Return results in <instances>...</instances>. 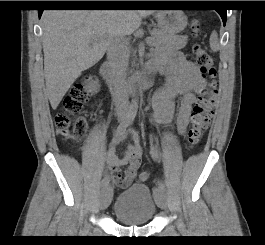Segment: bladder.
<instances>
[{
  "instance_id": "bladder-1",
  "label": "bladder",
  "mask_w": 265,
  "mask_h": 245,
  "mask_svg": "<svg viewBox=\"0 0 265 245\" xmlns=\"http://www.w3.org/2000/svg\"><path fill=\"white\" fill-rule=\"evenodd\" d=\"M157 203L144 184H131L116 198L113 214L124 225L147 224L156 213Z\"/></svg>"
}]
</instances>
